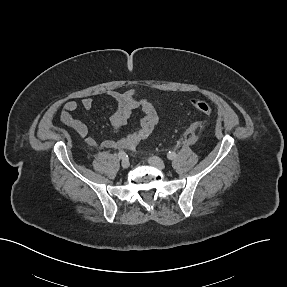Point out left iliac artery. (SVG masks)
<instances>
[{"instance_id": "1", "label": "left iliac artery", "mask_w": 287, "mask_h": 287, "mask_svg": "<svg viewBox=\"0 0 287 287\" xmlns=\"http://www.w3.org/2000/svg\"><path fill=\"white\" fill-rule=\"evenodd\" d=\"M176 156H177V154H176L175 152H173V151H172V152L169 151V152L167 153V157H168L169 160L175 159Z\"/></svg>"}]
</instances>
